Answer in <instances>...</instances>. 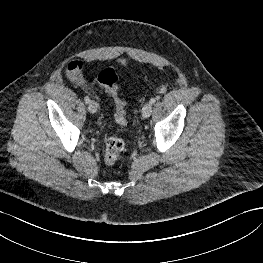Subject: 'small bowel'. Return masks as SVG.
Here are the masks:
<instances>
[{
  "label": "small bowel",
  "instance_id": "obj_1",
  "mask_svg": "<svg viewBox=\"0 0 263 263\" xmlns=\"http://www.w3.org/2000/svg\"><path fill=\"white\" fill-rule=\"evenodd\" d=\"M66 75L68 79L76 86L81 87L86 91H90V86L86 83L83 76V62L80 60H73L67 64Z\"/></svg>",
  "mask_w": 263,
  "mask_h": 263
}]
</instances>
